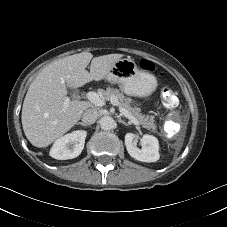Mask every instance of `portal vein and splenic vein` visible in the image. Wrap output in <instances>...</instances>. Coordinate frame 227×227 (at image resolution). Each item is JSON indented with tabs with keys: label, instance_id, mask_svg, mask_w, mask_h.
Here are the masks:
<instances>
[{
	"label": "portal vein and splenic vein",
	"instance_id": "obj_1",
	"mask_svg": "<svg viewBox=\"0 0 227 227\" xmlns=\"http://www.w3.org/2000/svg\"><path fill=\"white\" fill-rule=\"evenodd\" d=\"M87 98L88 100L93 103L96 106H104L105 105V99L99 96L96 92L90 91L87 93ZM110 102L119 108V111L121 112L122 115H124L126 118H128L133 124L139 125L140 123L138 120L129 114V112L124 109L123 107L120 106L118 99L115 96H111ZM69 104V99L67 98L64 102V108H66Z\"/></svg>",
	"mask_w": 227,
	"mask_h": 227
}]
</instances>
